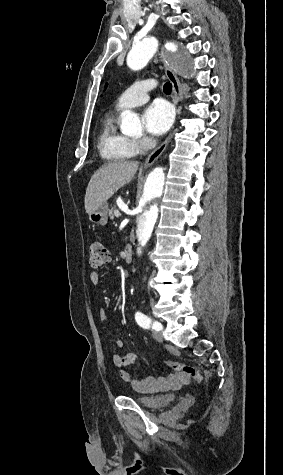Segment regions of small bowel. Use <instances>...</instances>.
Segmentation results:
<instances>
[{
	"label": "small bowel",
	"mask_w": 283,
	"mask_h": 475,
	"mask_svg": "<svg viewBox=\"0 0 283 475\" xmlns=\"http://www.w3.org/2000/svg\"><path fill=\"white\" fill-rule=\"evenodd\" d=\"M90 283L94 286L99 285L100 283V274L97 272L90 273L89 276ZM99 319L102 322H107L109 318V313L106 309L101 308L98 312ZM116 345L118 347L123 346V341L121 339L116 340ZM137 362V356L133 353H125V354H115L112 357V363L117 368H124L129 365H133ZM121 377L124 381L130 383L134 389H141L145 385L149 384H157V383H168L172 388H177L186 384L182 378L178 374H171L166 377H147V378H138L133 376L130 372L123 370L121 372Z\"/></svg>",
	"instance_id": "1"
}]
</instances>
